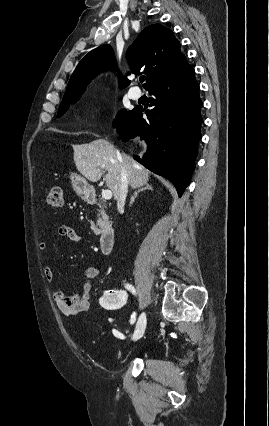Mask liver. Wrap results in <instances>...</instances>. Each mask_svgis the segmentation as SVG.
<instances>
[{"label":"liver","mask_w":269,"mask_h":426,"mask_svg":"<svg viewBox=\"0 0 269 426\" xmlns=\"http://www.w3.org/2000/svg\"><path fill=\"white\" fill-rule=\"evenodd\" d=\"M74 162L77 170L89 181L97 182L107 171L105 181L117 200L119 193L121 166L126 170L128 183L135 189L149 181V171L132 157L120 152L105 139L73 146Z\"/></svg>","instance_id":"6515ba94"}]
</instances>
